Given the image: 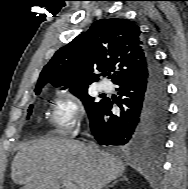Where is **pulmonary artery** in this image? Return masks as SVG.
<instances>
[{"label":"pulmonary artery","instance_id":"1","mask_svg":"<svg viewBox=\"0 0 188 189\" xmlns=\"http://www.w3.org/2000/svg\"><path fill=\"white\" fill-rule=\"evenodd\" d=\"M99 89L101 91H109L110 90V84L108 82H100L99 83Z\"/></svg>","mask_w":188,"mask_h":189}]
</instances>
